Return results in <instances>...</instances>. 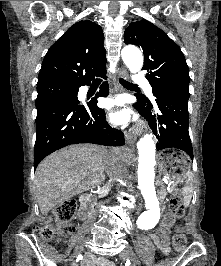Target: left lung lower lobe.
<instances>
[{"mask_svg":"<svg viewBox=\"0 0 221 266\" xmlns=\"http://www.w3.org/2000/svg\"><path fill=\"white\" fill-rule=\"evenodd\" d=\"M154 105L141 96L133 106L150 123L157 136V151L173 148L186 152L193 160V149L188 131V99L165 92L153 91ZM157 109L158 113H152Z\"/></svg>","mask_w":221,"mask_h":266,"instance_id":"left-lung-lower-lobe-1","label":"left lung lower lobe"}]
</instances>
